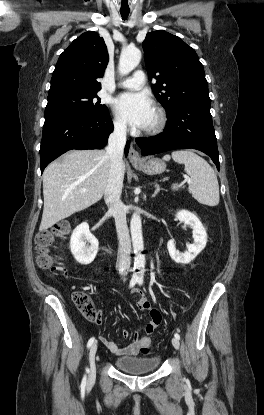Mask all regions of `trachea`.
I'll return each instance as SVG.
<instances>
[{"label":"trachea","mask_w":264,"mask_h":415,"mask_svg":"<svg viewBox=\"0 0 264 415\" xmlns=\"http://www.w3.org/2000/svg\"><path fill=\"white\" fill-rule=\"evenodd\" d=\"M129 15V12H121L122 19L125 20Z\"/></svg>","instance_id":"trachea-1"}]
</instances>
